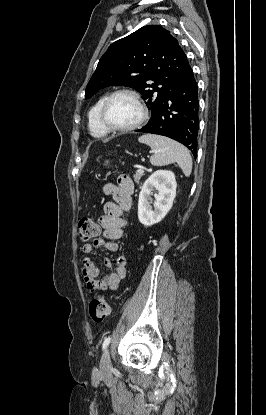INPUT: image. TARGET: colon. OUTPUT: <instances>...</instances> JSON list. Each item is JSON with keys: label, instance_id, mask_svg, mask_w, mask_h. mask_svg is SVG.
<instances>
[{"label": "colon", "instance_id": "colon-1", "mask_svg": "<svg viewBox=\"0 0 266 415\" xmlns=\"http://www.w3.org/2000/svg\"><path fill=\"white\" fill-rule=\"evenodd\" d=\"M100 233L99 225L90 218L79 221V239L83 243L97 237ZM110 313V306L105 296H97L89 303V315L95 322L104 321Z\"/></svg>", "mask_w": 266, "mask_h": 415}]
</instances>
